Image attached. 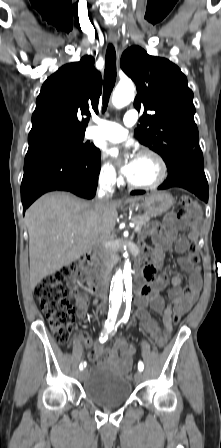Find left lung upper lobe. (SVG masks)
<instances>
[{
  "label": "left lung upper lobe",
  "instance_id": "left-lung-upper-lobe-1",
  "mask_svg": "<svg viewBox=\"0 0 221 448\" xmlns=\"http://www.w3.org/2000/svg\"><path fill=\"white\" fill-rule=\"evenodd\" d=\"M120 64L136 84L135 108H145L135 130L140 142L160 154L165 163L177 155L201 150L193 118V92L181 70L139 46L124 51Z\"/></svg>",
  "mask_w": 221,
  "mask_h": 448
}]
</instances>
